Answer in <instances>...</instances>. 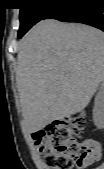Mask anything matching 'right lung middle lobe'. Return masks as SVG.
Listing matches in <instances>:
<instances>
[{
    "label": "right lung middle lobe",
    "instance_id": "right-lung-middle-lobe-1",
    "mask_svg": "<svg viewBox=\"0 0 104 169\" xmlns=\"http://www.w3.org/2000/svg\"><path fill=\"white\" fill-rule=\"evenodd\" d=\"M20 29L21 38L34 24L45 17L58 5L57 0H20Z\"/></svg>",
    "mask_w": 104,
    "mask_h": 169
}]
</instances>
